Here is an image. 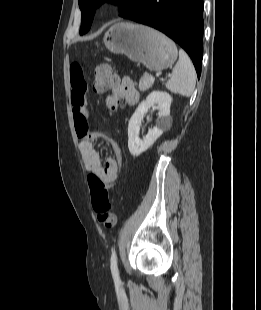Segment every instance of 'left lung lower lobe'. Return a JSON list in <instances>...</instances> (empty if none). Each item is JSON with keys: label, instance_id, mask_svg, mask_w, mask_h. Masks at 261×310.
Returning <instances> with one entry per match:
<instances>
[{"label": "left lung lower lobe", "instance_id": "left-lung-lower-lobe-1", "mask_svg": "<svg viewBox=\"0 0 261 310\" xmlns=\"http://www.w3.org/2000/svg\"><path fill=\"white\" fill-rule=\"evenodd\" d=\"M151 26L177 42L191 57L197 75L203 57V0H135L123 16Z\"/></svg>", "mask_w": 261, "mask_h": 310}]
</instances>
